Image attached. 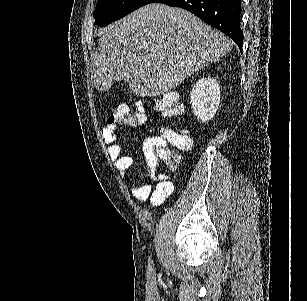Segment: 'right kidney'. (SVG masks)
<instances>
[{
	"instance_id": "obj_1",
	"label": "right kidney",
	"mask_w": 307,
	"mask_h": 301,
	"mask_svg": "<svg viewBox=\"0 0 307 301\" xmlns=\"http://www.w3.org/2000/svg\"><path fill=\"white\" fill-rule=\"evenodd\" d=\"M194 116L201 122H209L216 114L220 104V84L214 76L199 78L190 94Z\"/></svg>"
}]
</instances>
